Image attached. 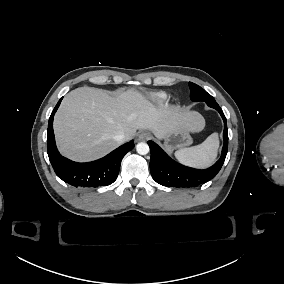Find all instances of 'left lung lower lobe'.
<instances>
[{
  "label": "left lung lower lobe",
  "instance_id": "left-lung-lower-lobe-1",
  "mask_svg": "<svg viewBox=\"0 0 284 284\" xmlns=\"http://www.w3.org/2000/svg\"><path fill=\"white\" fill-rule=\"evenodd\" d=\"M206 103L209 107L216 109L224 121V145L220 159L210 168L204 170L193 169L175 162L156 143L148 141L151 151L150 171L157 183L176 188L197 187L214 178L220 171L228 150L227 121L216 101Z\"/></svg>",
  "mask_w": 284,
  "mask_h": 284
}]
</instances>
